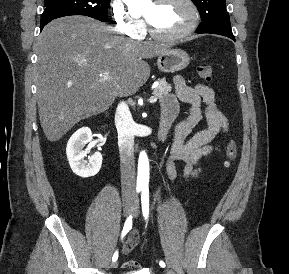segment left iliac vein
Here are the masks:
<instances>
[{
    "label": "left iliac vein",
    "instance_id": "1",
    "mask_svg": "<svg viewBox=\"0 0 289 274\" xmlns=\"http://www.w3.org/2000/svg\"><path fill=\"white\" fill-rule=\"evenodd\" d=\"M139 213V204L138 202L135 203V208H134V216L136 217Z\"/></svg>",
    "mask_w": 289,
    "mask_h": 274
}]
</instances>
